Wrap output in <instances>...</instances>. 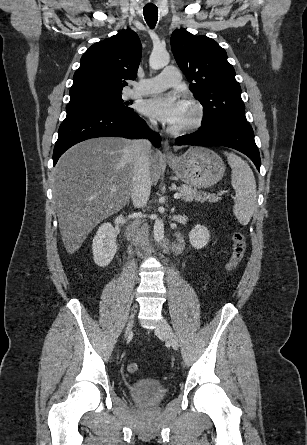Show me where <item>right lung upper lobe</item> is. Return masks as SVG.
I'll return each instance as SVG.
<instances>
[{
    "mask_svg": "<svg viewBox=\"0 0 307 445\" xmlns=\"http://www.w3.org/2000/svg\"><path fill=\"white\" fill-rule=\"evenodd\" d=\"M141 53L139 37L130 29L93 44L83 54L73 76L71 99L121 94L127 85L125 80L137 76Z\"/></svg>",
    "mask_w": 307,
    "mask_h": 445,
    "instance_id": "cb5924a9",
    "label": "right lung upper lobe"
}]
</instances>
